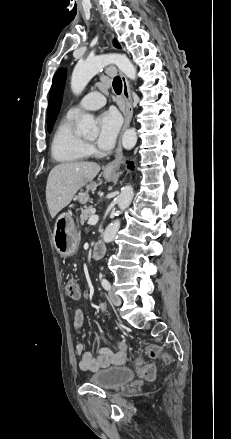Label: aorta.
<instances>
[{"label": "aorta", "mask_w": 231, "mask_h": 439, "mask_svg": "<svg viewBox=\"0 0 231 439\" xmlns=\"http://www.w3.org/2000/svg\"><path fill=\"white\" fill-rule=\"evenodd\" d=\"M110 64H115L118 69L124 73L129 79H136V68L130 59L122 54H105L94 57H88L86 60L76 64L72 77L71 89L75 95H79L88 82L104 67ZM78 132L85 136H95L98 132L96 122L92 115L84 114L81 122L78 125ZM137 142V133L135 129H128L122 137V145L125 149H132ZM134 191L129 185L123 187L120 195L117 198V203L120 211L126 210L133 199ZM120 228V220L117 219L110 223L106 228L103 240L106 243L111 242Z\"/></svg>", "instance_id": "762f6f07"}]
</instances>
